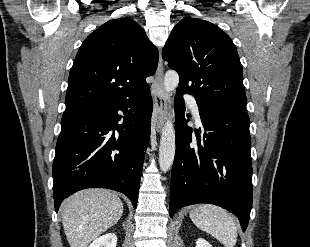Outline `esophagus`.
Segmentation results:
<instances>
[{
	"instance_id": "esophagus-1",
	"label": "esophagus",
	"mask_w": 310,
	"mask_h": 247,
	"mask_svg": "<svg viewBox=\"0 0 310 247\" xmlns=\"http://www.w3.org/2000/svg\"><path fill=\"white\" fill-rule=\"evenodd\" d=\"M163 75H164V67L160 53L153 89V101L156 113L155 128L157 132H160V130L163 127L167 111L166 97L163 86Z\"/></svg>"
}]
</instances>
